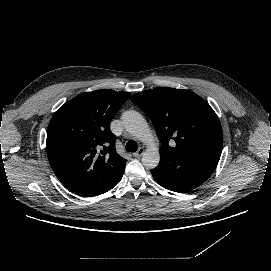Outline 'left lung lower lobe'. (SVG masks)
I'll use <instances>...</instances> for the list:
<instances>
[{
	"mask_svg": "<svg viewBox=\"0 0 271 271\" xmlns=\"http://www.w3.org/2000/svg\"><path fill=\"white\" fill-rule=\"evenodd\" d=\"M159 151L160 163L151 174L162 187L179 193L191 191L204 183L219 161L165 149Z\"/></svg>",
	"mask_w": 271,
	"mask_h": 271,
	"instance_id": "1",
	"label": "left lung lower lobe"
}]
</instances>
